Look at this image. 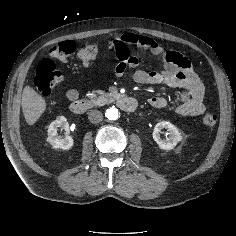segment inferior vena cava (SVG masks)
Listing matches in <instances>:
<instances>
[{
    "mask_svg": "<svg viewBox=\"0 0 236 236\" xmlns=\"http://www.w3.org/2000/svg\"><path fill=\"white\" fill-rule=\"evenodd\" d=\"M88 119L91 123H99L103 120V114L98 110L89 112Z\"/></svg>",
    "mask_w": 236,
    "mask_h": 236,
    "instance_id": "obj_1",
    "label": "inferior vena cava"
}]
</instances>
